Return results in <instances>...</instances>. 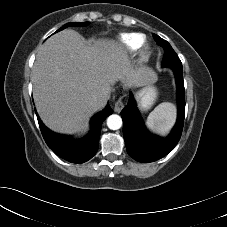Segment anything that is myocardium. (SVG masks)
I'll use <instances>...</instances> for the list:
<instances>
[{
    "label": "myocardium",
    "mask_w": 227,
    "mask_h": 227,
    "mask_svg": "<svg viewBox=\"0 0 227 227\" xmlns=\"http://www.w3.org/2000/svg\"><path fill=\"white\" fill-rule=\"evenodd\" d=\"M150 56V47L147 43L143 45V49L141 52V58L142 60H147Z\"/></svg>",
    "instance_id": "obj_1"
}]
</instances>
